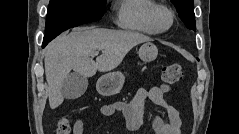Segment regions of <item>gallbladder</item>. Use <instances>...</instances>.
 Listing matches in <instances>:
<instances>
[{
	"label": "gallbladder",
	"mask_w": 239,
	"mask_h": 134,
	"mask_svg": "<svg viewBox=\"0 0 239 134\" xmlns=\"http://www.w3.org/2000/svg\"><path fill=\"white\" fill-rule=\"evenodd\" d=\"M87 86V78L77 72H74L66 77L62 84L61 91L66 99H76L85 93Z\"/></svg>",
	"instance_id": "obj_1"
}]
</instances>
